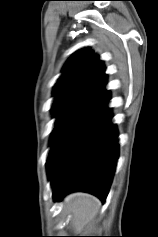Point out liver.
Instances as JSON below:
<instances>
[{"instance_id": "liver-1", "label": "liver", "mask_w": 158, "mask_h": 237, "mask_svg": "<svg viewBox=\"0 0 158 237\" xmlns=\"http://www.w3.org/2000/svg\"><path fill=\"white\" fill-rule=\"evenodd\" d=\"M65 206L71 214L75 234H88L99 214L100 201L87 193H73L65 198Z\"/></svg>"}]
</instances>
